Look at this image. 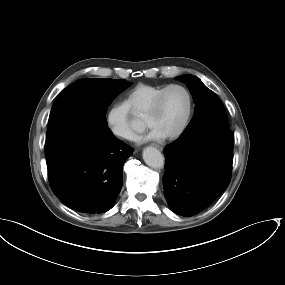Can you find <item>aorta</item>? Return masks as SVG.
Instances as JSON below:
<instances>
[{
    "instance_id": "aorta-1",
    "label": "aorta",
    "mask_w": 285,
    "mask_h": 285,
    "mask_svg": "<svg viewBox=\"0 0 285 285\" xmlns=\"http://www.w3.org/2000/svg\"><path fill=\"white\" fill-rule=\"evenodd\" d=\"M143 160L148 166L155 169H160L164 166L163 155L154 147H146L143 150Z\"/></svg>"
}]
</instances>
